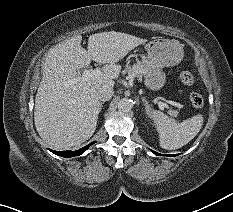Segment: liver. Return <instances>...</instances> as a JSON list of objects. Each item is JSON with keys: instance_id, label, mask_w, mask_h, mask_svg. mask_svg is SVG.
Wrapping results in <instances>:
<instances>
[{"instance_id": "6515ba94", "label": "liver", "mask_w": 233, "mask_h": 212, "mask_svg": "<svg viewBox=\"0 0 233 212\" xmlns=\"http://www.w3.org/2000/svg\"><path fill=\"white\" fill-rule=\"evenodd\" d=\"M81 40L82 36L76 35L60 42L50 49L43 65L34 121L40 137L53 149L78 147L93 135L101 111L97 88L113 87L121 71L117 62L147 41L126 33L102 32L89 36L86 50ZM91 60L107 64L100 75L67 85Z\"/></svg>"}]
</instances>
